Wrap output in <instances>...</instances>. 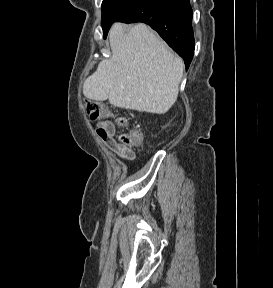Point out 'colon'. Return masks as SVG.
<instances>
[{"mask_svg":"<svg viewBox=\"0 0 273 288\" xmlns=\"http://www.w3.org/2000/svg\"><path fill=\"white\" fill-rule=\"evenodd\" d=\"M86 111L92 122H99L112 117L109 109L103 103L97 101H88L86 104ZM116 121L120 128L127 129L126 120L118 118ZM98 134L101 137L104 134V130L99 128ZM120 140L126 146L137 147L142 142V136L140 132L136 130H125L121 133Z\"/></svg>","mask_w":273,"mask_h":288,"instance_id":"colon-1","label":"colon"}]
</instances>
